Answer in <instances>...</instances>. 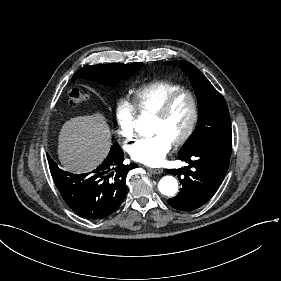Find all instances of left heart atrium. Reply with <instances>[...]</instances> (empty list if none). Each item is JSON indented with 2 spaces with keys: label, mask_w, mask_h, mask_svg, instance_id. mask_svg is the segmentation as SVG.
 <instances>
[{
  "label": "left heart atrium",
  "mask_w": 281,
  "mask_h": 281,
  "mask_svg": "<svg viewBox=\"0 0 281 281\" xmlns=\"http://www.w3.org/2000/svg\"><path fill=\"white\" fill-rule=\"evenodd\" d=\"M172 141L165 135L157 133L140 140L130 149L133 160L148 166H159L165 161Z\"/></svg>",
  "instance_id": "left-heart-atrium-1"
}]
</instances>
